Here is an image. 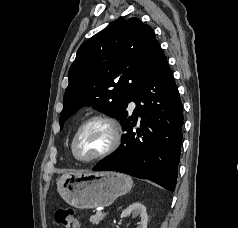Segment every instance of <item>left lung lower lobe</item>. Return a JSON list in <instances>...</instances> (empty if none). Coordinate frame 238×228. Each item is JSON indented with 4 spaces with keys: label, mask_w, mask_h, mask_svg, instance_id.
<instances>
[{
    "label": "left lung lower lobe",
    "mask_w": 238,
    "mask_h": 228,
    "mask_svg": "<svg viewBox=\"0 0 238 228\" xmlns=\"http://www.w3.org/2000/svg\"><path fill=\"white\" fill-rule=\"evenodd\" d=\"M133 101L136 109L123 122L121 147L94 171H117L148 179L174 191L182 142L183 108L173 73L161 48L144 73ZM138 116L140 128L133 131Z\"/></svg>",
    "instance_id": "0a47b994"
}]
</instances>
